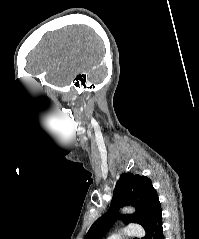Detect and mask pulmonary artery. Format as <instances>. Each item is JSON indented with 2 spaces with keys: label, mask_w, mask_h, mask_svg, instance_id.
<instances>
[{
  "label": "pulmonary artery",
  "mask_w": 199,
  "mask_h": 239,
  "mask_svg": "<svg viewBox=\"0 0 199 239\" xmlns=\"http://www.w3.org/2000/svg\"><path fill=\"white\" fill-rule=\"evenodd\" d=\"M144 234V230L139 224H130L127 226L124 233H116L112 234L108 237V239H123L125 237L135 238V237H142Z\"/></svg>",
  "instance_id": "obj_1"
}]
</instances>
